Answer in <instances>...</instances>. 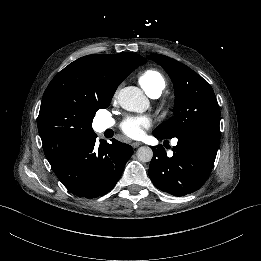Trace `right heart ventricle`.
Here are the masks:
<instances>
[{
    "mask_svg": "<svg viewBox=\"0 0 261 261\" xmlns=\"http://www.w3.org/2000/svg\"><path fill=\"white\" fill-rule=\"evenodd\" d=\"M139 84L142 90L150 96L153 93L161 94L166 87L164 75L157 69H147L139 76Z\"/></svg>",
    "mask_w": 261,
    "mask_h": 261,
    "instance_id": "obj_1",
    "label": "right heart ventricle"
}]
</instances>
